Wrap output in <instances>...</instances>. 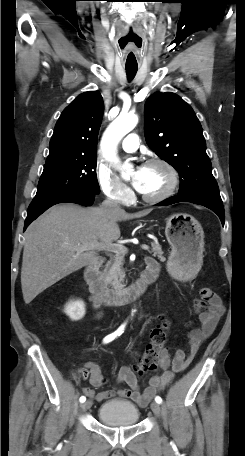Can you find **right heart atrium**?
<instances>
[{"label":"right heart atrium","mask_w":245,"mask_h":456,"mask_svg":"<svg viewBox=\"0 0 245 456\" xmlns=\"http://www.w3.org/2000/svg\"><path fill=\"white\" fill-rule=\"evenodd\" d=\"M95 177L102 193L110 200L127 204L131 200V190L109 168L97 163Z\"/></svg>","instance_id":"obj_1"}]
</instances>
